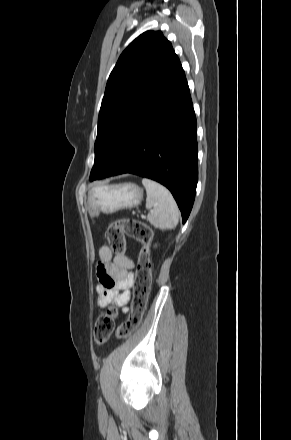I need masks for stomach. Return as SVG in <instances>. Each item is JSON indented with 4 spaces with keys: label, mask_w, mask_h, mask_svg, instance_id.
I'll return each instance as SVG.
<instances>
[{
    "label": "stomach",
    "mask_w": 291,
    "mask_h": 440,
    "mask_svg": "<svg viewBox=\"0 0 291 440\" xmlns=\"http://www.w3.org/2000/svg\"><path fill=\"white\" fill-rule=\"evenodd\" d=\"M143 198V190L134 183L96 186L88 192L86 209L90 216L114 213L136 207Z\"/></svg>",
    "instance_id": "obj_1"
}]
</instances>
